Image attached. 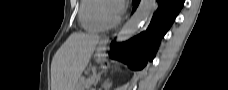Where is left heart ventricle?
Segmentation results:
<instances>
[{
    "instance_id": "1",
    "label": "left heart ventricle",
    "mask_w": 228,
    "mask_h": 90,
    "mask_svg": "<svg viewBox=\"0 0 228 90\" xmlns=\"http://www.w3.org/2000/svg\"><path fill=\"white\" fill-rule=\"evenodd\" d=\"M104 15L107 19L112 20L115 17H117V14L115 12L114 6L111 4H108L104 8Z\"/></svg>"
}]
</instances>
